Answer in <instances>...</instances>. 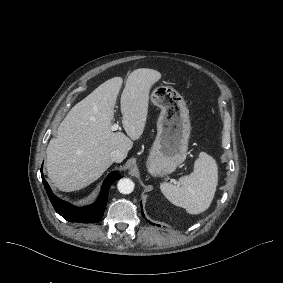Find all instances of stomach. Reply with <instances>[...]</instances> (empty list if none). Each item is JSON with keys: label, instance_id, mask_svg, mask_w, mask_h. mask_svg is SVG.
I'll return each mask as SVG.
<instances>
[{"label": "stomach", "instance_id": "stomach-1", "mask_svg": "<svg viewBox=\"0 0 283 283\" xmlns=\"http://www.w3.org/2000/svg\"><path fill=\"white\" fill-rule=\"evenodd\" d=\"M149 99L161 109V114L148 167L153 175H163L173 172L186 159L190 136L189 110L184 97L172 86H155Z\"/></svg>", "mask_w": 283, "mask_h": 283}]
</instances>
